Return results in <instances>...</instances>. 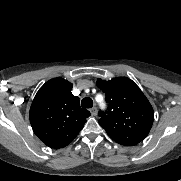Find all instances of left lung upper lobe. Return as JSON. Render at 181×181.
<instances>
[{"label":"left lung upper lobe","instance_id":"obj_1","mask_svg":"<svg viewBox=\"0 0 181 181\" xmlns=\"http://www.w3.org/2000/svg\"><path fill=\"white\" fill-rule=\"evenodd\" d=\"M96 84L108 104L106 111L99 112L100 126L121 145L135 146L143 141L152 127L154 111L140 88L127 77L98 79Z\"/></svg>","mask_w":181,"mask_h":181}]
</instances>
